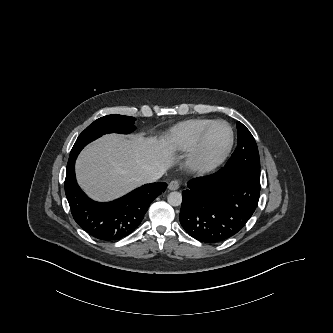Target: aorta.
<instances>
[{
	"mask_svg": "<svg viewBox=\"0 0 333 333\" xmlns=\"http://www.w3.org/2000/svg\"><path fill=\"white\" fill-rule=\"evenodd\" d=\"M167 200L170 205L179 206L182 203V195L181 193L174 191L168 195Z\"/></svg>",
	"mask_w": 333,
	"mask_h": 333,
	"instance_id": "obj_1",
	"label": "aorta"
}]
</instances>
